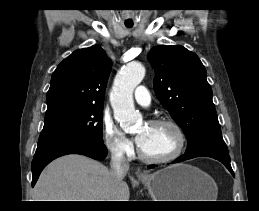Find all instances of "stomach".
<instances>
[{
  "instance_id": "stomach-1",
  "label": "stomach",
  "mask_w": 259,
  "mask_h": 211,
  "mask_svg": "<svg viewBox=\"0 0 259 211\" xmlns=\"http://www.w3.org/2000/svg\"><path fill=\"white\" fill-rule=\"evenodd\" d=\"M154 201H214L217 186L200 169L177 164L141 179Z\"/></svg>"
}]
</instances>
